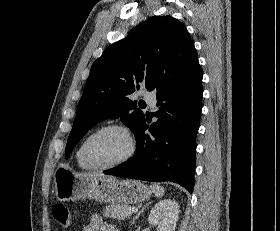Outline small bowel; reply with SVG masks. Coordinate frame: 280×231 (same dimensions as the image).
I'll return each instance as SVG.
<instances>
[{"instance_id": "obj_1", "label": "small bowel", "mask_w": 280, "mask_h": 231, "mask_svg": "<svg viewBox=\"0 0 280 231\" xmlns=\"http://www.w3.org/2000/svg\"><path fill=\"white\" fill-rule=\"evenodd\" d=\"M83 231H117V229L107 224L100 215L94 214L89 223L84 226Z\"/></svg>"}]
</instances>
